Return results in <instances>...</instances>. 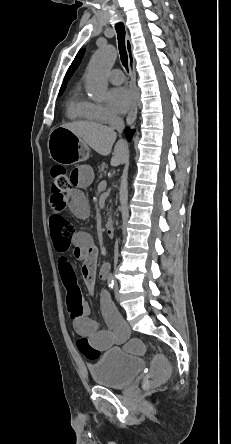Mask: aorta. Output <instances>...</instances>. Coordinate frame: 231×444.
I'll return each mask as SVG.
<instances>
[{
  "label": "aorta",
  "instance_id": "aorta-1",
  "mask_svg": "<svg viewBox=\"0 0 231 444\" xmlns=\"http://www.w3.org/2000/svg\"><path fill=\"white\" fill-rule=\"evenodd\" d=\"M116 53L112 46L106 45L93 55L87 70L86 87L95 101H103L107 95L106 71L113 65Z\"/></svg>",
  "mask_w": 231,
  "mask_h": 444
}]
</instances>
